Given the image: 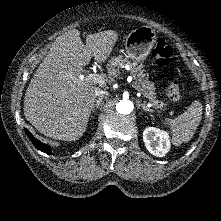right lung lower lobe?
Masks as SVG:
<instances>
[{
  "instance_id": "98d812e1",
  "label": "right lung lower lobe",
  "mask_w": 221,
  "mask_h": 221,
  "mask_svg": "<svg viewBox=\"0 0 221 221\" xmlns=\"http://www.w3.org/2000/svg\"><path fill=\"white\" fill-rule=\"evenodd\" d=\"M25 131L27 133V136L31 140V142L34 144V146L38 150H41L42 152L49 154V155L52 153L51 148L47 144H44V143L40 142L39 140H37L27 129H25Z\"/></svg>"
}]
</instances>
